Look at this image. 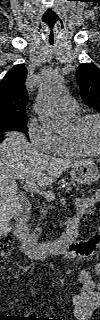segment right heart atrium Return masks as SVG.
Masks as SVG:
<instances>
[{
  "label": "right heart atrium",
  "instance_id": "1",
  "mask_svg": "<svg viewBox=\"0 0 100 320\" xmlns=\"http://www.w3.org/2000/svg\"><path fill=\"white\" fill-rule=\"evenodd\" d=\"M28 136L32 145L39 151L52 153L57 137L50 129L37 120H31L28 124Z\"/></svg>",
  "mask_w": 100,
  "mask_h": 320
}]
</instances>
